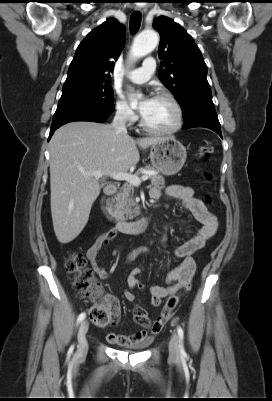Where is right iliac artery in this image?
<instances>
[{
    "instance_id": "right-iliac-artery-1",
    "label": "right iliac artery",
    "mask_w": 272,
    "mask_h": 401,
    "mask_svg": "<svg viewBox=\"0 0 272 401\" xmlns=\"http://www.w3.org/2000/svg\"><path fill=\"white\" fill-rule=\"evenodd\" d=\"M85 317H86V313H85V312H82V313L78 316L77 323L79 324L80 322H82V321L85 319Z\"/></svg>"
}]
</instances>
